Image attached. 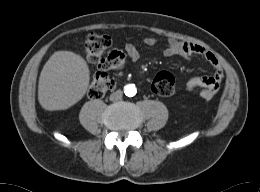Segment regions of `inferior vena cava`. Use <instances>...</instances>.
Listing matches in <instances>:
<instances>
[{
    "label": "inferior vena cava",
    "instance_id": "602c4592",
    "mask_svg": "<svg viewBox=\"0 0 260 192\" xmlns=\"http://www.w3.org/2000/svg\"><path fill=\"white\" fill-rule=\"evenodd\" d=\"M122 96H123V92L121 90H117L110 95V100L119 101L122 99Z\"/></svg>",
    "mask_w": 260,
    "mask_h": 192
}]
</instances>
